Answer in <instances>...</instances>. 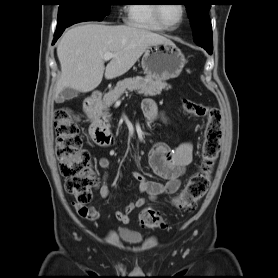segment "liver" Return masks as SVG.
<instances>
[{"mask_svg": "<svg viewBox=\"0 0 278 278\" xmlns=\"http://www.w3.org/2000/svg\"><path fill=\"white\" fill-rule=\"evenodd\" d=\"M169 42L167 38L137 26L88 23L67 30L57 46L61 77L55 99L65 88L87 93L99 86L103 74L113 79L125 74L148 46ZM115 54L104 65L105 53Z\"/></svg>", "mask_w": 278, "mask_h": 278, "instance_id": "1", "label": "liver"}]
</instances>
